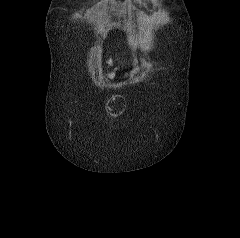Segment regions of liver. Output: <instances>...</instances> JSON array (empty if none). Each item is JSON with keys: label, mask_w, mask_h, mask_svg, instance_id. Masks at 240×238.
I'll return each instance as SVG.
<instances>
[{"label": "liver", "mask_w": 240, "mask_h": 238, "mask_svg": "<svg viewBox=\"0 0 240 238\" xmlns=\"http://www.w3.org/2000/svg\"><path fill=\"white\" fill-rule=\"evenodd\" d=\"M108 63H109V65H111V64H112V62H111V61H109ZM114 75H115L114 73H111V74H109L108 76H109V78H111V79H112V78L114 77Z\"/></svg>", "instance_id": "6515ba94"}]
</instances>
